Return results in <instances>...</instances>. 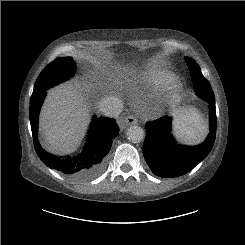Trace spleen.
<instances>
[{"label":"spleen","mask_w":245,"mask_h":245,"mask_svg":"<svg viewBox=\"0 0 245 245\" xmlns=\"http://www.w3.org/2000/svg\"><path fill=\"white\" fill-rule=\"evenodd\" d=\"M174 135L183 143L196 145L207 135V125L194 108L185 109L173 123Z\"/></svg>","instance_id":"1"}]
</instances>
